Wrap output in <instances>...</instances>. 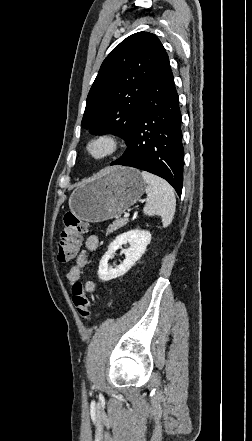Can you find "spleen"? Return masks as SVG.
<instances>
[{"label": "spleen", "mask_w": 252, "mask_h": 441, "mask_svg": "<svg viewBox=\"0 0 252 441\" xmlns=\"http://www.w3.org/2000/svg\"><path fill=\"white\" fill-rule=\"evenodd\" d=\"M142 178L147 183L146 204L143 212L147 216H160L163 227L171 224L176 208V199L173 188L164 179L151 173L142 171Z\"/></svg>", "instance_id": "1"}]
</instances>
